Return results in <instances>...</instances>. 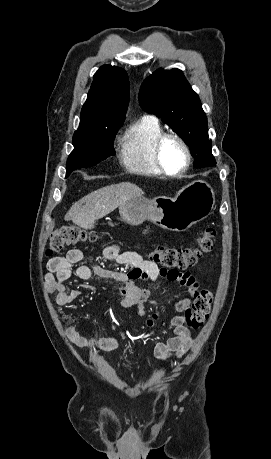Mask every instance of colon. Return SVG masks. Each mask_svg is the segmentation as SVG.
Segmentation results:
<instances>
[{
	"label": "colon",
	"instance_id": "obj_1",
	"mask_svg": "<svg viewBox=\"0 0 271 459\" xmlns=\"http://www.w3.org/2000/svg\"><path fill=\"white\" fill-rule=\"evenodd\" d=\"M215 230L212 227L204 228L195 244L183 248H167L157 246L150 254V259L171 271H182L194 266L198 260L212 250ZM99 234L86 231L75 225H63L56 229L47 247L46 254L51 255L63 248L86 242H95ZM214 292L210 289L200 290L192 303L191 308L184 314L185 324L192 329L200 327L208 318ZM161 319L160 312H153L146 320L148 328H154Z\"/></svg>",
	"mask_w": 271,
	"mask_h": 459
}]
</instances>
